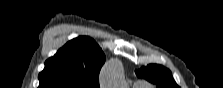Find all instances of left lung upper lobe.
I'll return each mask as SVG.
<instances>
[{"instance_id": "5c2ea615", "label": "left lung upper lobe", "mask_w": 223, "mask_h": 88, "mask_svg": "<svg viewBox=\"0 0 223 88\" xmlns=\"http://www.w3.org/2000/svg\"><path fill=\"white\" fill-rule=\"evenodd\" d=\"M137 75L154 83L158 88H179L171 72L160 65H148L144 69L138 70Z\"/></svg>"}]
</instances>
